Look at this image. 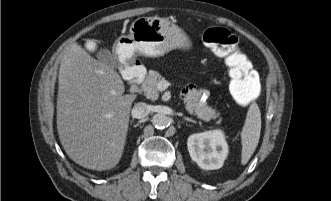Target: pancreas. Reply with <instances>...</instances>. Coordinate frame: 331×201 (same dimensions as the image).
Returning <instances> with one entry per match:
<instances>
[{
  "label": "pancreas",
  "mask_w": 331,
  "mask_h": 201,
  "mask_svg": "<svg viewBox=\"0 0 331 201\" xmlns=\"http://www.w3.org/2000/svg\"><path fill=\"white\" fill-rule=\"evenodd\" d=\"M163 77L157 71H150L141 85V91L151 100H157L159 97L158 83ZM203 94L209 95V91L204 89L193 90L189 92L186 98V109L189 113L196 115L203 121L216 119L219 114L215 109L207 105L206 101H201Z\"/></svg>",
  "instance_id": "1"
}]
</instances>
